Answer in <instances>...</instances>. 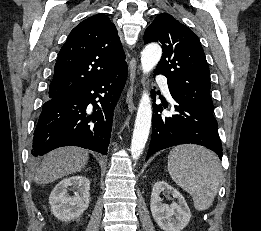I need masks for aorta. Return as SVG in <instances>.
Listing matches in <instances>:
<instances>
[{
	"label": "aorta",
	"mask_w": 261,
	"mask_h": 231,
	"mask_svg": "<svg viewBox=\"0 0 261 231\" xmlns=\"http://www.w3.org/2000/svg\"><path fill=\"white\" fill-rule=\"evenodd\" d=\"M162 49L158 44L147 45L141 53V67L144 74H148L160 61ZM152 119V106L148 92H143L135 119L131 141V156L137 160L143 153L148 140Z\"/></svg>",
	"instance_id": "aorta-1"
}]
</instances>
